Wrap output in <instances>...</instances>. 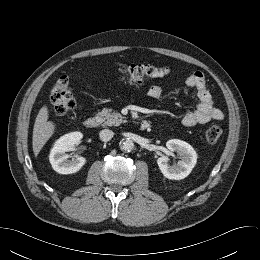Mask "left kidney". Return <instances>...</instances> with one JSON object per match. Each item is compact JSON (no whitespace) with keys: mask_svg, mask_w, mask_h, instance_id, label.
<instances>
[{"mask_svg":"<svg viewBox=\"0 0 260 260\" xmlns=\"http://www.w3.org/2000/svg\"><path fill=\"white\" fill-rule=\"evenodd\" d=\"M166 147L171 152H177L181 158L177 164L170 165L166 156L159 157L157 164L162 174L171 180H181L187 177L197 162V154L194 148L185 141L171 139L167 141Z\"/></svg>","mask_w":260,"mask_h":260,"instance_id":"obj_1","label":"left kidney"}]
</instances>
